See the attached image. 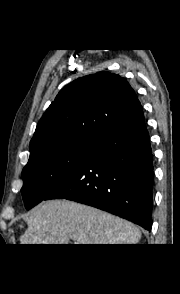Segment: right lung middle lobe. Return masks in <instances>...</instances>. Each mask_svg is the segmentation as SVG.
<instances>
[{
    "label": "right lung middle lobe",
    "instance_id": "1",
    "mask_svg": "<svg viewBox=\"0 0 180 294\" xmlns=\"http://www.w3.org/2000/svg\"><path fill=\"white\" fill-rule=\"evenodd\" d=\"M97 141L76 139L38 151L22 171L21 189L26 209H30L67 180L93 150Z\"/></svg>",
    "mask_w": 180,
    "mask_h": 294
}]
</instances>
